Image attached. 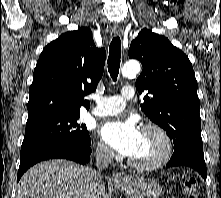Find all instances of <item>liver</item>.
<instances>
[{
  "instance_id": "liver-1",
  "label": "liver",
  "mask_w": 221,
  "mask_h": 198,
  "mask_svg": "<svg viewBox=\"0 0 221 198\" xmlns=\"http://www.w3.org/2000/svg\"><path fill=\"white\" fill-rule=\"evenodd\" d=\"M90 170L62 159L41 162L21 177L17 198H102L105 185L94 184Z\"/></svg>"
}]
</instances>
